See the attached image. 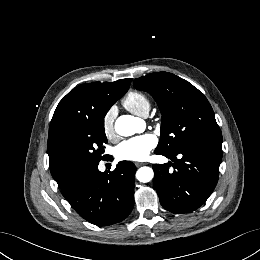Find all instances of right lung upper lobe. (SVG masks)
Returning <instances> with one entry per match:
<instances>
[{
  "mask_svg": "<svg viewBox=\"0 0 260 260\" xmlns=\"http://www.w3.org/2000/svg\"><path fill=\"white\" fill-rule=\"evenodd\" d=\"M130 82V79H122L82 84L60 101L50 123L47 148L50 171L59 187L74 173L67 158V146L78 124L97 115L100 100L123 96L129 89Z\"/></svg>",
  "mask_w": 260,
  "mask_h": 260,
  "instance_id": "cb5924a9",
  "label": "right lung upper lobe"
}]
</instances>
